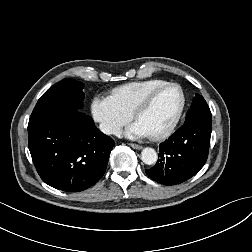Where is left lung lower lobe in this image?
Wrapping results in <instances>:
<instances>
[{"label": "left lung lower lobe", "mask_w": 252, "mask_h": 252, "mask_svg": "<svg viewBox=\"0 0 252 252\" xmlns=\"http://www.w3.org/2000/svg\"><path fill=\"white\" fill-rule=\"evenodd\" d=\"M212 120L184 123L170 138L159 145V159L147 175L164 185L182 183L204 166L210 146Z\"/></svg>", "instance_id": "1"}]
</instances>
